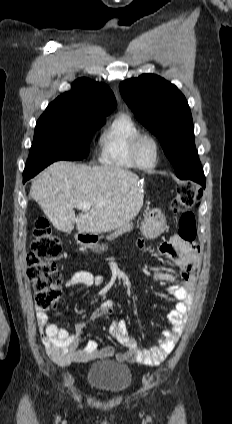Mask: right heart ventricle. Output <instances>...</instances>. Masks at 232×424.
I'll use <instances>...</instances> for the list:
<instances>
[{"label": "right heart ventricle", "instance_id": "right-heart-ventricle-1", "mask_svg": "<svg viewBox=\"0 0 232 424\" xmlns=\"http://www.w3.org/2000/svg\"><path fill=\"white\" fill-rule=\"evenodd\" d=\"M140 133L141 127L130 114H119L100 134V163L121 170L137 168L131 158L130 148L133 139Z\"/></svg>", "mask_w": 232, "mask_h": 424}]
</instances>
